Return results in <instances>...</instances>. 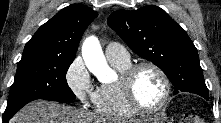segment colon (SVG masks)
<instances>
[{
    "mask_svg": "<svg viewBox=\"0 0 221 123\" xmlns=\"http://www.w3.org/2000/svg\"><path fill=\"white\" fill-rule=\"evenodd\" d=\"M204 119L192 112H186L181 118V123H204Z\"/></svg>",
    "mask_w": 221,
    "mask_h": 123,
    "instance_id": "1",
    "label": "colon"
}]
</instances>
